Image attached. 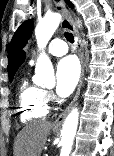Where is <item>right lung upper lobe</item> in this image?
<instances>
[{
	"mask_svg": "<svg viewBox=\"0 0 114 156\" xmlns=\"http://www.w3.org/2000/svg\"><path fill=\"white\" fill-rule=\"evenodd\" d=\"M24 60H25V53L24 51H21L9 69V77H14L16 71L18 70L20 65L24 62Z\"/></svg>",
	"mask_w": 114,
	"mask_h": 156,
	"instance_id": "cb5924a9",
	"label": "right lung upper lobe"
}]
</instances>
